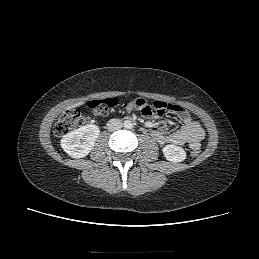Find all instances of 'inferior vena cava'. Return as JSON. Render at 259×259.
Masks as SVG:
<instances>
[{
  "label": "inferior vena cava",
  "mask_w": 259,
  "mask_h": 259,
  "mask_svg": "<svg viewBox=\"0 0 259 259\" xmlns=\"http://www.w3.org/2000/svg\"><path fill=\"white\" fill-rule=\"evenodd\" d=\"M123 127L122 121L120 119L113 118L108 121L107 129L109 131H116Z\"/></svg>",
  "instance_id": "602c4592"
}]
</instances>
